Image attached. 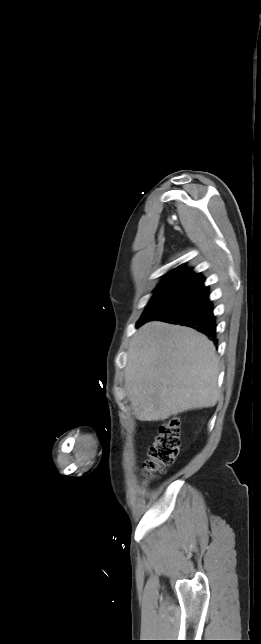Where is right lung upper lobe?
Wrapping results in <instances>:
<instances>
[{"label":"right lung upper lobe","mask_w":261,"mask_h":644,"mask_svg":"<svg viewBox=\"0 0 261 644\" xmlns=\"http://www.w3.org/2000/svg\"><path fill=\"white\" fill-rule=\"evenodd\" d=\"M166 281H185L203 285L205 279L201 276V274L193 273L191 269H183L178 267L170 271L166 275L164 282Z\"/></svg>","instance_id":"right-lung-upper-lobe-1"}]
</instances>
